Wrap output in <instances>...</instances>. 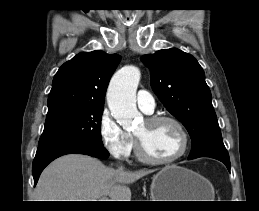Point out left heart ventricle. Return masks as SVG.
I'll use <instances>...</instances> for the list:
<instances>
[{"label": "left heart ventricle", "mask_w": 259, "mask_h": 211, "mask_svg": "<svg viewBox=\"0 0 259 211\" xmlns=\"http://www.w3.org/2000/svg\"><path fill=\"white\" fill-rule=\"evenodd\" d=\"M146 152L154 158H168L181 147V137L177 128L169 122L149 124L144 120L135 131Z\"/></svg>", "instance_id": "obj_1"}]
</instances>
